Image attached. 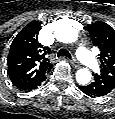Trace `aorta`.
Listing matches in <instances>:
<instances>
[{"mask_svg":"<svg viewBox=\"0 0 115 119\" xmlns=\"http://www.w3.org/2000/svg\"><path fill=\"white\" fill-rule=\"evenodd\" d=\"M55 37L63 43H74L78 40V31L71 24L62 22L55 29ZM76 80L81 85H86L91 80V72L87 68H82L76 73Z\"/></svg>","mask_w":115,"mask_h":119,"instance_id":"762f6f07","label":"aorta"}]
</instances>
